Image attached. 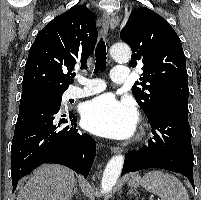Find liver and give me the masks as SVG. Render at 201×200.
<instances>
[{
	"label": "liver",
	"mask_w": 201,
	"mask_h": 200,
	"mask_svg": "<svg viewBox=\"0 0 201 200\" xmlns=\"http://www.w3.org/2000/svg\"><path fill=\"white\" fill-rule=\"evenodd\" d=\"M76 184L74 173L61 165H42L19 192L17 200H69Z\"/></svg>",
	"instance_id": "6515ba94"
}]
</instances>
